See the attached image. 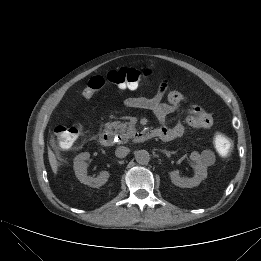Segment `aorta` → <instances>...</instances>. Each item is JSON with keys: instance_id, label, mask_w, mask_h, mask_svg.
<instances>
[{"instance_id": "762f6f07", "label": "aorta", "mask_w": 261, "mask_h": 261, "mask_svg": "<svg viewBox=\"0 0 261 261\" xmlns=\"http://www.w3.org/2000/svg\"><path fill=\"white\" fill-rule=\"evenodd\" d=\"M135 159L138 164L146 165L150 161V154L147 150H139L135 154Z\"/></svg>"}]
</instances>
